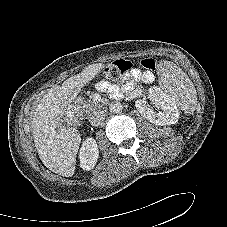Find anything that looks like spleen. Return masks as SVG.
I'll list each match as a JSON object with an SVG mask.
<instances>
[{
  "instance_id": "spleen-1",
  "label": "spleen",
  "mask_w": 227,
  "mask_h": 227,
  "mask_svg": "<svg viewBox=\"0 0 227 227\" xmlns=\"http://www.w3.org/2000/svg\"><path fill=\"white\" fill-rule=\"evenodd\" d=\"M158 74L161 90L179 109L192 114L196 109L197 97L194 85L188 76L170 61L159 64Z\"/></svg>"
}]
</instances>
